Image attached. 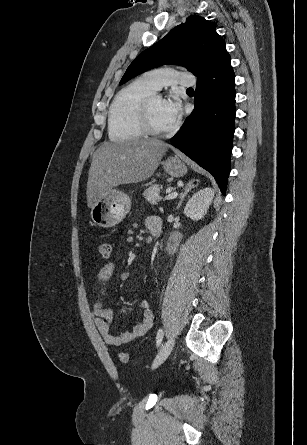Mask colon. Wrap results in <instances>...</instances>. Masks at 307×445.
Wrapping results in <instances>:
<instances>
[{
	"label": "colon",
	"instance_id": "5ec220e1",
	"mask_svg": "<svg viewBox=\"0 0 307 445\" xmlns=\"http://www.w3.org/2000/svg\"><path fill=\"white\" fill-rule=\"evenodd\" d=\"M97 249L103 258H108L111 254V245L108 242L99 241L97 244ZM120 360L123 363H129L131 361V356L126 352L120 353Z\"/></svg>",
	"mask_w": 307,
	"mask_h": 445
}]
</instances>
